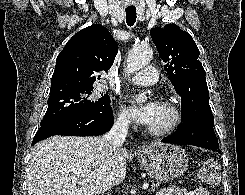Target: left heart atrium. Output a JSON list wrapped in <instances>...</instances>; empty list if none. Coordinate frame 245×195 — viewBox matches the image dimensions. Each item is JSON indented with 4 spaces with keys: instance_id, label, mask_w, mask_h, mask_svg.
<instances>
[{
    "instance_id": "obj_1",
    "label": "left heart atrium",
    "mask_w": 245,
    "mask_h": 195,
    "mask_svg": "<svg viewBox=\"0 0 245 195\" xmlns=\"http://www.w3.org/2000/svg\"><path fill=\"white\" fill-rule=\"evenodd\" d=\"M130 109L133 117L137 122L143 125H148L153 119L158 103L154 101H148L144 104H137L133 98L129 99Z\"/></svg>"
}]
</instances>
